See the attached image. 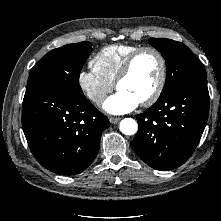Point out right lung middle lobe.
I'll use <instances>...</instances> for the list:
<instances>
[{"mask_svg":"<svg viewBox=\"0 0 221 221\" xmlns=\"http://www.w3.org/2000/svg\"><path fill=\"white\" fill-rule=\"evenodd\" d=\"M91 46L90 42L84 41L53 49L34 67L27 87L38 86L53 91L83 94L79 75L92 52Z\"/></svg>","mask_w":221,"mask_h":221,"instance_id":"1","label":"right lung middle lobe"}]
</instances>
